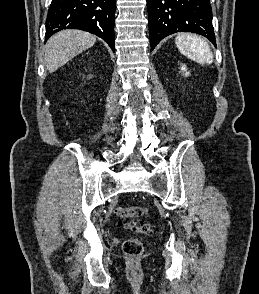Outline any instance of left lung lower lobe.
<instances>
[{"label":"left lung lower lobe","instance_id":"left-lung-lower-lobe-1","mask_svg":"<svg viewBox=\"0 0 259 294\" xmlns=\"http://www.w3.org/2000/svg\"><path fill=\"white\" fill-rule=\"evenodd\" d=\"M147 8L152 49L176 32L203 35L216 46L209 0H147Z\"/></svg>","mask_w":259,"mask_h":294}]
</instances>
